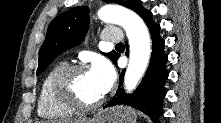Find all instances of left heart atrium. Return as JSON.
<instances>
[{
  "label": "left heart atrium",
  "instance_id": "left-heart-atrium-1",
  "mask_svg": "<svg viewBox=\"0 0 221 123\" xmlns=\"http://www.w3.org/2000/svg\"><path fill=\"white\" fill-rule=\"evenodd\" d=\"M89 73L99 86L102 94L107 93L115 78L111 64L104 58H96L92 62Z\"/></svg>",
  "mask_w": 221,
  "mask_h": 123
}]
</instances>
